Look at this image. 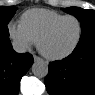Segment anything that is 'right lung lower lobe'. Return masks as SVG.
<instances>
[{"mask_svg":"<svg viewBox=\"0 0 95 95\" xmlns=\"http://www.w3.org/2000/svg\"><path fill=\"white\" fill-rule=\"evenodd\" d=\"M33 63L28 53H16L9 37L0 36V95H17L22 76Z\"/></svg>","mask_w":95,"mask_h":95,"instance_id":"right-lung-lower-lobe-1","label":"right lung lower lobe"}]
</instances>
